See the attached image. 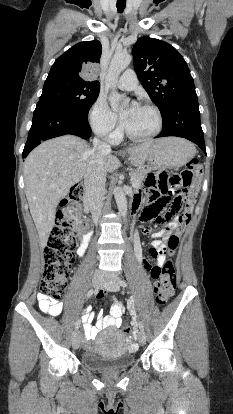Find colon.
<instances>
[{
  "label": "colon",
  "mask_w": 233,
  "mask_h": 414,
  "mask_svg": "<svg viewBox=\"0 0 233 414\" xmlns=\"http://www.w3.org/2000/svg\"><path fill=\"white\" fill-rule=\"evenodd\" d=\"M201 173V163L198 159H192L180 174L162 170L148 175L144 188L145 192L150 194L151 199L147 210L149 214L160 222V212L169 205L167 216L182 210L178 215L179 225L180 227L187 225L197 198L195 177ZM84 194V186L77 184L62 200L61 208L56 213V222L44 251L45 269L40 290L53 299H59L64 295L67 279L71 273V265L75 258L76 242L71 230L87 228V224L80 220L79 202ZM178 245L179 232L177 231L167 237L164 244H161V248L154 252V256L163 253L171 257ZM150 274L155 280L156 302L158 305L164 306L173 296L177 284L175 266L171 259H167L162 267L152 266ZM122 331L129 335L132 328L125 324Z\"/></svg>",
  "instance_id": "colon-1"
}]
</instances>
